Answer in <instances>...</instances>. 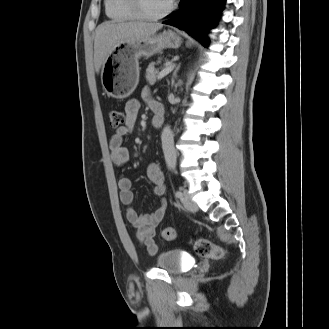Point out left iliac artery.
Wrapping results in <instances>:
<instances>
[{
	"instance_id": "obj_1",
	"label": "left iliac artery",
	"mask_w": 329,
	"mask_h": 329,
	"mask_svg": "<svg viewBox=\"0 0 329 329\" xmlns=\"http://www.w3.org/2000/svg\"><path fill=\"white\" fill-rule=\"evenodd\" d=\"M175 195H176L177 198H182L183 197V193L181 192V190L176 191Z\"/></svg>"
}]
</instances>
